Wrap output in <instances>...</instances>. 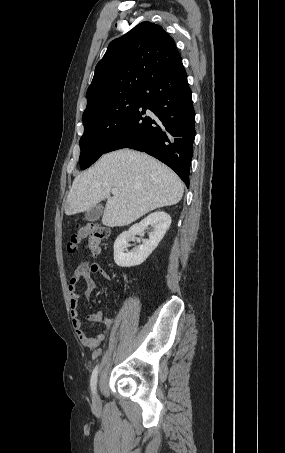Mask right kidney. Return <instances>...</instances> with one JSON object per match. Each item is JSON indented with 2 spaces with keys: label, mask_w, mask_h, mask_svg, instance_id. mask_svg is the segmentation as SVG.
Wrapping results in <instances>:
<instances>
[{
  "label": "right kidney",
  "mask_w": 285,
  "mask_h": 453,
  "mask_svg": "<svg viewBox=\"0 0 285 453\" xmlns=\"http://www.w3.org/2000/svg\"><path fill=\"white\" fill-rule=\"evenodd\" d=\"M171 225L169 214L158 211L149 214L138 224H134L128 231L122 232L114 243V261L120 267H133L142 264L163 239ZM148 226L153 228L149 239L142 241L135 250L128 251V241L137 234H141Z\"/></svg>",
  "instance_id": "ca27d5eb"
}]
</instances>
